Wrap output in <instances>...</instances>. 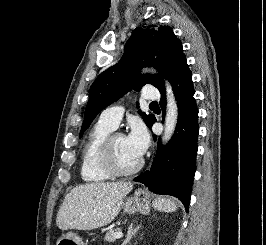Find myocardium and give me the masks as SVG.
I'll return each mask as SVG.
<instances>
[{
  "label": "myocardium",
  "instance_id": "f54148a6",
  "mask_svg": "<svg viewBox=\"0 0 266 245\" xmlns=\"http://www.w3.org/2000/svg\"><path fill=\"white\" fill-rule=\"evenodd\" d=\"M117 136H123V135L118 132H110L106 136L98 152V162L101 169L111 178L130 177L136 174L141 169L143 162L142 160L139 159L136 165L132 169L127 171L119 170L114 163L113 153H112V144L115 137Z\"/></svg>",
  "mask_w": 266,
  "mask_h": 245
}]
</instances>
